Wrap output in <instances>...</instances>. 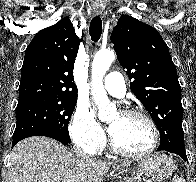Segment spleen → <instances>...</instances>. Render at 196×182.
<instances>
[{"mask_svg": "<svg viewBox=\"0 0 196 182\" xmlns=\"http://www.w3.org/2000/svg\"><path fill=\"white\" fill-rule=\"evenodd\" d=\"M174 182H185V180L183 178H178Z\"/></svg>", "mask_w": 196, "mask_h": 182, "instance_id": "3e777b00", "label": "spleen"}]
</instances>
